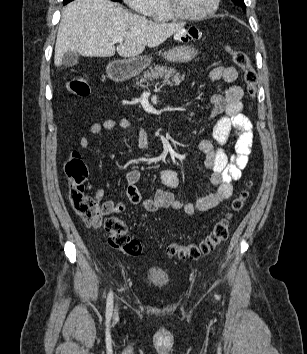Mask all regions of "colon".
<instances>
[{
  "mask_svg": "<svg viewBox=\"0 0 307 354\" xmlns=\"http://www.w3.org/2000/svg\"><path fill=\"white\" fill-rule=\"evenodd\" d=\"M228 52L235 65L243 73V80L249 97L255 98L257 94V73L248 54L245 51L233 48H228ZM67 85L69 90L79 97L84 98L90 94L89 81L84 73L72 75ZM65 172L69 180V202L85 224L91 228L104 227L108 232V243L112 248L130 256L139 255L142 252V245L138 240L129 236L124 219L117 216L104 219L107 214L104 205L86 193L85 183L88 178V170L80 153L74 151L68 157L65 162ZM251 185L250 181L246 183V188L233 199L230 211L215 223L204 239L189 245L170 243L166 246L167 254L180 259L196 260L215 250L227 239L232 214L243 208L249 196Z\"/></svg>",
  "mask_w": 307,
  "mask_h": 354,
  "instance_id": "5ec220e1",
  "label": "colon"
}]
</instances>
